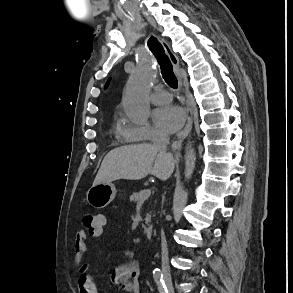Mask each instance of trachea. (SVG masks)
Segmentation results:
<instances>
[{"label":"trachea","mask_w":293,"mask_h":293,"mask_svg":"<svg viewBox=\"0 0 293 293\" xmlns=\"http://www.w3.org/2000/svg\"><path fill=\"white\" fill-rule=\"evenodd\" d=\"M148 46L158 60V63L161 68V74L165 82L170 87L177 88L178 81L173 72L172 63L169 57L166 55L165 50L163 46L161 45V43L155 37H151L148 40Z\"/></svg>","instance_id":"1"}]
</instances>
